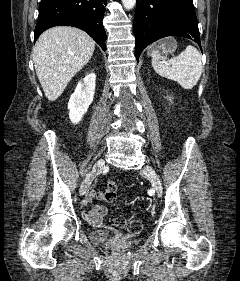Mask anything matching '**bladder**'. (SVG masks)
Wrapping results in <instances>:
<instances>
[{
	"label": "bladder",
	"mask_w": 240,
	"mask_h": 281,
	"mask_svg": "<svg viewBox=\"0 0 240 281\" xmlns=\"http://www.w3.org/2000/svg\"><path fill=\"white\" fill-rule=\"evenodd\" d=\"M90 237L96 244H106L112 240H118L123 244H131L136 238L135 235H123L121 233L112 232L105 229L92 231Z\"/></svg>",
	"instance_id": "1"
}]
</instances>
